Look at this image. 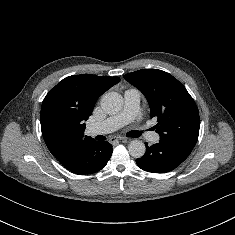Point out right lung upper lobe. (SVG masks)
Returning <instances> with one entry per match:
<instances>
[{"label":"right lung upper lobe","instance_id":"obj_1","mask_svg":"<svg viewBox=\"0 0 235 235\" xmlns=\"http://www.w3.org/2000/svg\"><path fill=\"white\" fill-rule=\"evenodd\" d=\"M120 81L118 77L91 74L64 78L44 98L41 131L53 156L67 163L84 143L85 121L92 114L97 99Z\"/></svg>","mask_w":235,"mask_h":235}]
</instances>
